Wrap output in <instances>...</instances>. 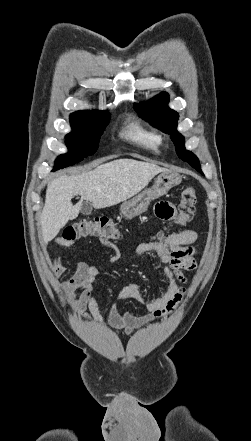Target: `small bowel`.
I'll return each instance as SVG.
<instances>
[{"instance_id": "small-bowel-1", "label": "small bowel", "mask_w": 251, "mask_h": 441, "mask_svg": "<svg viewBox=\"0 0 251 441\" xmlns=\"http://www.w3.org/2000/svg\"><path fill=\"white\" fill-rule=\"evenodd\" d=\"M157 217L164 220H172L176 217L174 206L169 202H159L155 206ZM198 239V233L194 230H183L168 236L162 242H144L136 247L138 256H148L156 259L164 267L167 280L166 289L154 298L142 297L140 287L131 283L123 287L117 294L118 299H133L139 302L147 313L137 316L131 312H121L115 304H112L105 318L100 311L95 293L97 292L96 281L100 269L95 263L78 262L72 269L71 276L63 283L65 294L72 299L73 308L82 321H94L101 325H107L114 329H124L127 333L151 323L155 318L168 315L175 311L184 297L187 279L184 271H192L197 267L194 258L193 244ZM102 243L109 245L108 242ZM58 245L65 249H71L74 244L70 241L59 240ZM119 259L115 250L109 257L111 263ZM52 270L55 275L63 276L70 269L63 265L57 257L53 261Z\"/></svg>"}]
</instances>
